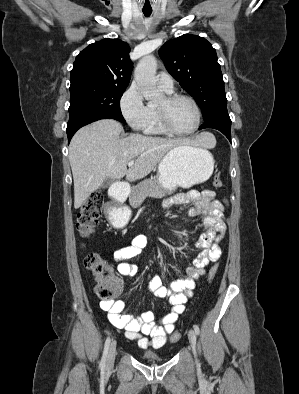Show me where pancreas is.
Listing matches in <instances>:
<instances>
[{
  "label": "pancreas",
  "mask_w": 299,
  "mask_h": 394,
  "mask_svg": "<svg viewBox=\"0 0 299 394\" xmlns=\"http://www.w3.org/2000/svg\"><path fill=\"white\" fill-rule=\"evenodd\" d=\"M157 181L146 179L139 183L134 189L130 198L132 206L140 205L146 197L162 198L169 194Z\"/></svg>",
  "instance_id": "cf45deb5"
}]
</instances>
